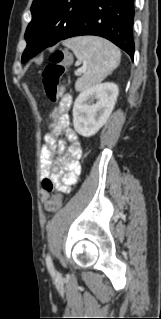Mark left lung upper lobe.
<instances>
[{
  "instance_id": "obj_1",
  "label": "left lung upper lobe",
  "mask_w": 161,
  "mask_h": 319,
  "mask_svg": "<svg viewBox=\"0 0 161 319\" xmlns=\"http://www.w3.org/2000/svg\"><path fill=\"white\" fill-rule=\"evenodd\" d=\"M94 0H33L32 20L27 26L25 39L27 47L22 62L27 60L33 45L37 53L59 42L75 22L83 15Z\"/></svg>"
}]
</instances>
